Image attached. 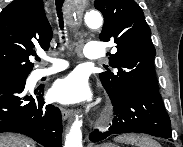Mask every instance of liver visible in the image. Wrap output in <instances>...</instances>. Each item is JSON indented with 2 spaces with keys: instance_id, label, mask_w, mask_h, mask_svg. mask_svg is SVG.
Here are the masks:
<instances>
[{
  "instance_id": "liver-1",
  "label": "liver",
  "mask_w": 183,
  "mask_h": 147,
  "mask_svg": "<svg viewBox=\"0 0 183 147\" xmlns=\"http://www.w3.org/2000/svg\"><path fill=\"white\" fill-rule=\"evenodd\" d=\"M0 147H35V143L21 135L2 134L0 135Z\"/></svg>"
}]
</instances>
